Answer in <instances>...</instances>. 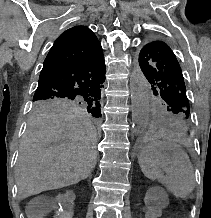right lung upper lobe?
Segmentation results:
<instances>
[{"label": "right lung upper lobe", "instance_id": "obj_1", "mask_svg": "<svg viewBox=\"0 0 211 218\" xmlns=\"http://www.w3.org/2000/svg\"><path fill=\"white\" fill-rule=\"evenodd\" d=\"M103 55L95 34L85 26H75L63 32L50 49L40 77L59 68Z\"/></svg>", "mask_w": 211, "mask_h": 218}]
</instances>
